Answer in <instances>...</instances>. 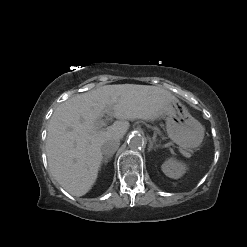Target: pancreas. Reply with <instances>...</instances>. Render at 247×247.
I'll return each instance as SVG.
<instances>
[{
  "instance_id": "pancreas-1",
  "label": "pancreas",
  "mask_w": 247,
  "mask_h": 247,
  "mask_svg": "<svg viewBox=\"0 0 247 247\" xmlns=\"http://www.w3.org/2000/svg\"><path fill=\"white\" fill-rule=\"evenodd\" d=\"M183 152H184V154H185L186 156L190 157V153H187V152H185V151H183Z\"/></svg>"
}]
</instances>
